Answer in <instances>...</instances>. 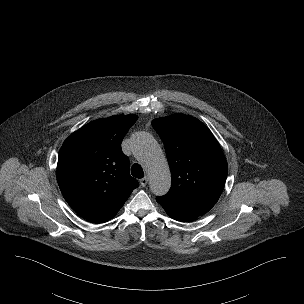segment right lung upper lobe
Segmentation results:
<instances>
[{
  "label": "right lung upper lobe",
  "mask_w": 304,
  "mask_h": 304,
  "mask_svg": "<svg viewBox=\"0 0 304 304\" xmlns=\"http://www.w3.org/2000/svg\"><path fill=\"white\" fill-rule=\"evenodd\" d=\"M136 115L94 120L71 134L58 157L57 181L67 203L93 223L112 219L138 182L121 142Z\"/></svg>",
  "instance_id": "1"
}]
</instances>
